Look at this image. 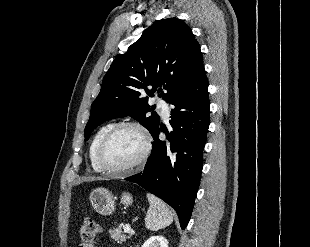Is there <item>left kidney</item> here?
<instances>
[{
  "label": "left kidney",
  "mask_w": 310,
  "mask_h": 247,
  "mask_svg": "<svg viewBox=\"0 0 310 247\" xmlns=\"http://www.w3.org/2000/svg\"><path fill=\"white\" fill-rule=\"evenodd\" d=\"M142 247H168V241L163 236H152Z\"/></svg>",
  "instance_id": "left-kidney-1"
}]
</instances>
